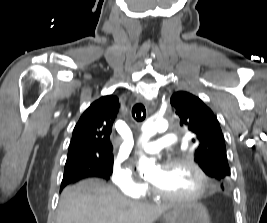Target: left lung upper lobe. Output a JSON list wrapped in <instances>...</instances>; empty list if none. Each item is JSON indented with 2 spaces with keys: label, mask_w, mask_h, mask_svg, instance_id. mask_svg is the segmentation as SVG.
Returning <instances> with one entry per match:
<instances>
[{
  "label": "left lung upper lobe",
  "mask_w": 267,
  "mask_h": 223,
  "mask_svg": "<svg viewBox=\"0 0 267 223\" xmlns=\"http://www.w3.org/2000/svg\"><path fill=\"white\" fill-rule=\"evenodd\" d=\"M170 102L181 119L180 125L194 134L195 162L209 177L226 182L231 173L216 116L198 97L188 92L174 93Z\"/></svg>",
  "instance_id": "1"
}]
</instances>
